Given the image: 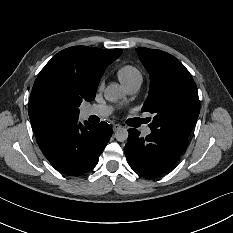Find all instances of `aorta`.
<instances>
[{
	"label": "aorta",
	"instance_id": "762f6f07",
	"mask_svg": "<svg viewBox=\"0 0 233 233\" xmlns=\"http://www.w3.org/2000/svg\"><path fill=\"white\" fill-rule=\"evenodd\" d=\"M126 91L118 83H111L108 85L104 92V97L107 101L117 102L125 98ZM115 138L117 141L124 142L128 138V131L126 128H121L115 131Z\"/></svg>",
	"mask_w": 233,
	"mask_h": 233
}]
</instances>
